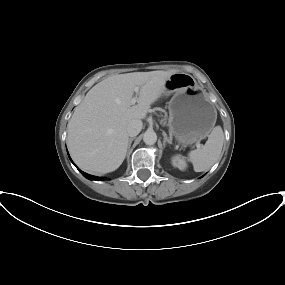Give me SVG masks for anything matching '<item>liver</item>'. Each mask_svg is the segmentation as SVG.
I'll return each mask as SVG.
<instances>
[{"label": "liver", "mask_w": 285, "mask_h": 285, "mask_svg": "<svg viewBox=\"0 0 285 285\" xmlns=\"http://www.w3.org/2000/svg\"><path fill=\"white\" fill-rule=\"evenodd\" d=\"M177 70L133 72L110 76L93 86L68 124L67 142L74 162L89 173L115 171L129 144L127 125L144 119ZM138 86L137 104L131 105Z\"/></svg>", "instance_id": "liver-1"}]
</instances>
